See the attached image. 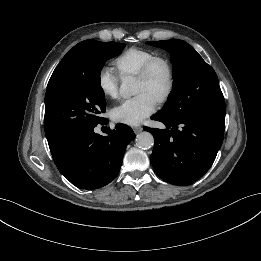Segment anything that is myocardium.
I'll use <instances>...</instances> for the list:
<instances>
[{"mask_svg":"<svg viewBox=\"0 0 261 261\" xmlns=\"http://www.w3.org/2000/svg\"><path fill=\"white\" fill-rule=\"evenodd\" d=\"M159 65H163L167 71V85L163 90V92L158 95L156 101L159 103H164L172 95L176 82L175 69L170 59H168L165 56H160V55L155 56L154 58H152L146 63V65L137 75V79L143 81H149Z\"/></svg>","mask_w":261,"mask_h":261,"instance_id":"1","label":"myocardium"}]
</instances>
